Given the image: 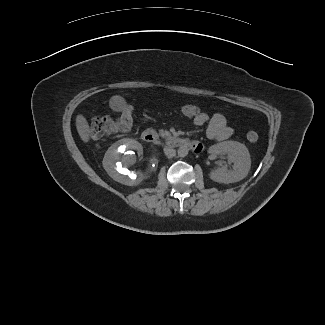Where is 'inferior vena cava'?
Instances as JSON below:
<instances>
[{
	"mask_svg": "<svg viewBox=\"0 0 325 325\" xmlns=\"http://www.w3.org/2000/svg\"><path fill=\"white\" fill-rule=\"evenodd\" d=\"M164 153L168 158H172L175 156L176 151L175 149L171 148V147H165L164 148Z\"/></svg>",
	"mask_w": 325,
	"mask_h": 325,
	"instance_id": "obj_1",
	"label": "inferior vena cava"
}]
</instances>
